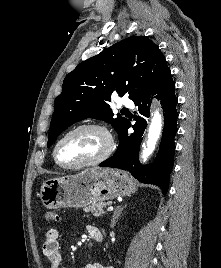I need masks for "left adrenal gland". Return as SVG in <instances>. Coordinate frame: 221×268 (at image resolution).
<instances>
[{"mask_svg":"<svg viewBox=\"0 0 221 268\" xmlns=\"http://www.w3.org/2000/svg\"><path fill=\"white\" fill-rule=\"evenodd\" d=\"M127 207V204L125 205H120V206H117L114 210V213H113V216H112V220H111V228H114L118 219L121 217V214L122 212L124 211V209H126Z\"/></svg>","mask_w":221,"mask_h":268,"instance_id":"obj_1","label":"left adrenal gland"}]
</instances>
